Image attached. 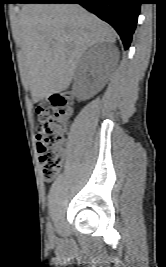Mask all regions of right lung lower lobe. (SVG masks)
<instances>
[{"label": "right lung lower lobe", "mask_w": 166, "mask_h": 267, "mask_svg": "<svg viewBox=\"0 0 166 267\" xmlns=\"http://www.w3.org/2000/svg\"><path fill=\"white\" fill-rule=\"evenodd\" d=\"M20 3H78L109 23L128 49L142 0H20Z\"/></svg>", "instance_id": "98d812e1"}]
</instances>
